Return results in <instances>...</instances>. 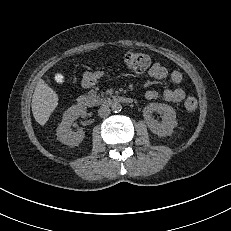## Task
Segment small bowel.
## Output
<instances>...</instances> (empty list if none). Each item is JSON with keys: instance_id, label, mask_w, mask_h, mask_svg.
<instances>
[{"instance_id": "c3829d8e", "label": "small bowel", "mask_w": 231, "mask_h": 231, "mask_svg": "<svg viewBox=\"0 0 231 231\" xmlns=\"http://www.w3.org/2000/svg\"><path fill=\"white\" fill-rule=\"evenodd\" d=\"M148 74L151 78L155 80H164L166 78H169L174 84H180L183 79L181 72L177 70L169 72L168 69L160 63H154L150 68ZM104 76L105 73L102 70L86 71L82 78V85L86 88L92 87ZM145 97L148 100L162 99L166 102L178 103L184 99L185 92L180 87L165 89L163 91L148 90L145 92Z\"/></svg>"}]
</instances>
